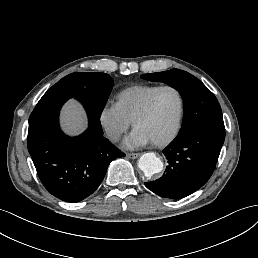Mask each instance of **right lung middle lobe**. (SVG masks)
<instances>
[{"instance_id": "dd1d6c3e", "label": "right lung middle lobe", "mask_w": 258, "mask_h": 258, "mask_svg": "<svg viewBox=\"0 0 258 258\" xmlns=\"http://www.w3.org/2000/svg\"><path fill=\"white\" fill-rule=\"evenodd\" d=\"M62 81H73L93 86L90 109L98 117L101 116L112 89V79L108 74L76 72L65 76L59 82Z\"/></svg>"}]
</instances>
